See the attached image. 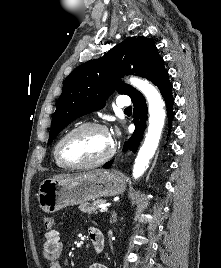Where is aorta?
I'll list each match as a JSON object with an SVG mask.
<instances>
[{
  "instance_id": "762f6f07",
  "label": "aorta",
  "mask_w": 221,
  "mask_h": 268,
  "mask_svg": "<svg viewBox=\"0 0 221 268\" xmlns=\"http://www.w3.org/2000/svg\"><path fill=\"white\" fill-rule=\"evenodd\" d=\"M130 84L143 93L148 101L149 126L146 138L133 166V178H140L154 156L165 122L164 102L158 90L146 80L131 77Z\"/></svg>"
}]
</instances>
